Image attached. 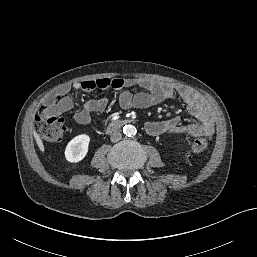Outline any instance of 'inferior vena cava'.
<instances>
[{
  "mask_svg": "<svg viewBox=\"0 0 257 257\" xmlns=\"http://www.w3.org/2000/svg\"><path fill=\"white\" fill-rule=\"evenodd\" d=\"M121 138H122V135L118 131H114L111 134V142H113V143L118 142L119 140H121Z\"/></svg>",
  "mask_w": 257,
  "mask_h": 257,
  "instance_id": "1",
  "label": "inferior vena cava"
}]
</instances>
